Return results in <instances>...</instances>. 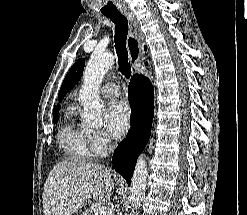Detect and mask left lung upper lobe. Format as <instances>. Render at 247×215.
<instances>
[{"label": "left lung upper lobe", "mask_w": 247, "mask_h": 215, "mask_svg": "<svg viewBox=\"0 0 247 215\" xmlns=\"http://www.w3.org/2000/svg\"><path fill=\"white\" fill-rule=\"evenodd\" d=\"M85 61L83 59H79L75 62V64L70 68L67 73L62 86L60 88L58 94V100L61 102L67 92H69L75 84L80 80L83 69H84Z\"/></svg>", "instance_id": "5c2ea615"}]
</instances>
